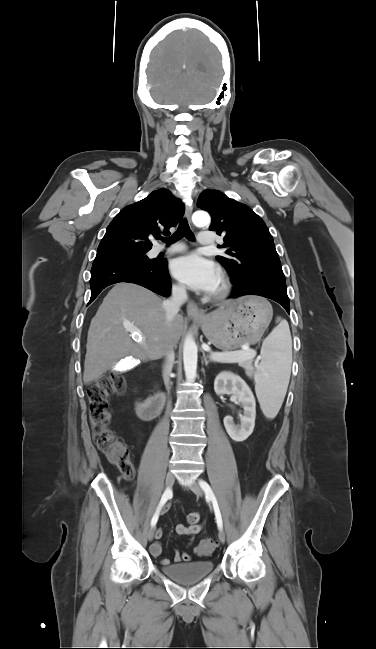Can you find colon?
I'll return each mask as SVG.
<instances>
[{
  "label": "colon",
  "mask_w": 376,
  "mask_h": 649,
  "mask_svg": "<svg viewBox=\"0 0 376 649\" xmlns=\"http://www.w3.org/2000/svg\"><path fill=\"white\" fill-rule=\"evenodd\" d=\"M124 390L125 381L122 377L104 376L87 389L86 396L95 445L119 468L125 478L131 479L135 474L134 464L130 459L127 445L109 429L110 414L107 409L108 397L113 394H121ZM216 545L217 543L213 539H203L196 551L199 555H207L215 549Z\"/></svg>",
  "instance_id": "5ec220e1"
}]
</instances>
